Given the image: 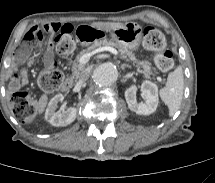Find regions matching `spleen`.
I'll return each mask as SVG.
<instances>
[{"label":"spleen","mask_w":215,"mask_h":183,"mask_svg":"<svg viewBox=\"0 0 215 183\" xmlns=\"http://www.w3.org/2000/svg\"><path fill=\"white\" fill-rule=\"evenodd\" d=\"M183 91V71L181 67H178L169 73L165 87L159 91L162 101L168 106L169 115H174L179 109L183 98Z\"/></svg>","instance_id":"1"}]
</instances>
